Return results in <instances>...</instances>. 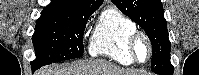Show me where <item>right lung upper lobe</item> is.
<instances>
[{
  "instance_id": "obj_1",
  "label": "right lung upper lobe",
  "mask_w": 199,
  "mask_h": 75,
  "mask_svg": "<svg viewBox=\"0 0 199 75\" xmlns=\"http://www.w3.org/2000/svg\"><path fill=\"white\" fill-rule=\"evenodd\" d=\"M102 3L103 0H52L51 4L44 9H56L90 16Z\"/></svg>"
}]
</instances>
